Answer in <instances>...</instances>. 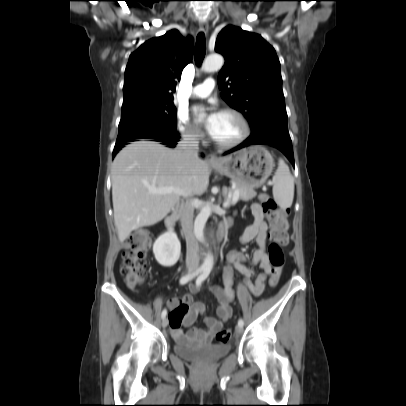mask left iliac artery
Here are the masks:
<instances>
[{
    "label": "left iliac artery",
    "mask_w": 406,
    "mask_h": 406,
    "mask_svg": "<svg viewBox=\"0 0 406 406\" xmlns=\"http://www.w3.org/2000/svg\"><path fill=\"white\" fill-rule=\"evenodd\" d=\"M210 272H211V268H206L203 271V273L196 280L197 287L201 286L202 282L209 276ZM238 325L243 327V325H244L243 319H239Z\"/></svg>",
    "instance_id": "left-iliac-artery-1"
}]
</instances>
